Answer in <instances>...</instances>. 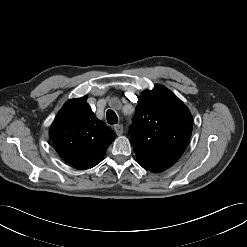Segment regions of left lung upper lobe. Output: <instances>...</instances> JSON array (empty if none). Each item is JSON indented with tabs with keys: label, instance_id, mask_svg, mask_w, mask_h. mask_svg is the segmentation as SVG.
Instances as JSON below:
<instances>
[{
	"label": "left lung upper lobe",
	"instance_id": "1",
	"mask_svg": "<svg viewBox=\"0 0 247 247\" xmlns=\"http://www.w3.org/2000/svg\"><path fill=\"white\" fill-rule=\"evenodd\" d=\"M192 127L189 109L170 90L156 85L144 91L129 130L139 164L155 173L171 167L183 154Z\"/></svg>",
	"mask_w": 247,
	"mask_h": 247
}]
</instances>
